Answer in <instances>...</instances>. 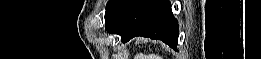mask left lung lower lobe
<instances>
[{
  "mask_svg": "<svg viewBox=\"0 0 261 59\" xmlns=\"http://www.w3.org/2000/svg\"><path fill=\"white\" fill-rule=\"evenodd\" d=\"M106 30L122 42L135 36L162 40L177 50L178 23L168 0H120L105 17Z\"/></svg>",
  "mask_w": 261,
  "mask_h": 59,
  "instance_id": "1",
  "label": "left lung lower lobe"
}]
</instances>
